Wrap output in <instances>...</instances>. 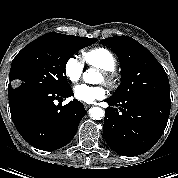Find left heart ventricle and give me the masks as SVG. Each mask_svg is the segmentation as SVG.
Wrapping results in <instances>:
<instances>
[{"label":"left heart ventricle","mask_w":178,"mask_h":178,"mask_svg":"<svg viewBox=\"0 0 178 178\" xmlns=\"http://www.w3.org/2000/svg\"><path fill=\"white\" fill-rule=\"evenodd\" d=\"M103 80V76H101V78H100V81H102Z\"/></svg>","instance_id":"b2bd125f"}]
</instances>
